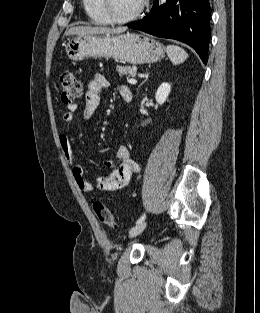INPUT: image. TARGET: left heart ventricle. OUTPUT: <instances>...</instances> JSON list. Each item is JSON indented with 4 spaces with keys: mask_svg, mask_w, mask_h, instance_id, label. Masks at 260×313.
<instances>
[{
    "mask_svg": "<svg viewBox=\"0 0 260 313\" xmlns=\"http://www.w3.org/2000/svg\"><path fill=\"white\" fill-rule=\"evenodd\" d=\"M142 0H112L113 11L119 17L133 13L140 6Z\"/></svg>",
    "mask_w": 260,
    "mask_h": 313,
    "instance_id": "left-heart-ventricle-1",
    "label": "left heart ventricle"
}]
</instances>
